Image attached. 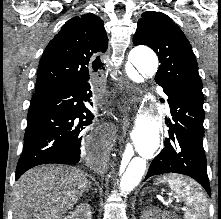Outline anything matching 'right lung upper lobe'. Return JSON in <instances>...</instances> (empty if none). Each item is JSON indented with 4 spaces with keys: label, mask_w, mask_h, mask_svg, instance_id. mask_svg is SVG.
I'll return each mask as SVG.
<instances>
[{
    "label": "right lung upper lobe",
    "mask_w": 221,
    "mask_h": 219,
    "mask_svg": "<svg viewBox=\"0 0 221 219\" xmlns=\"http://www.w3.org/2000/svg\"><path fill=\"white\" fill-rule=\"evenodd\" d=\"M103 21L93 13L67 21L49 42L39 62L35 93L89 81L102 69L107 50Z\"/></svg>",
    "instance_id": "obj_1"
}]
</instances>
